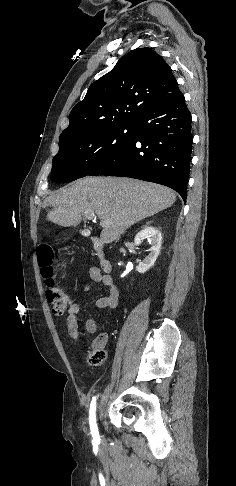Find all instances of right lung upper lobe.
Masks as SVG:
<instances>
[{
  "instance_id": "cb5924a9",
  "label": "right lung upper lobe",
  "mask_w": 236,
  "mask_h": 486,
  "mask_svg": "<svg viewBox=\"0 0 236 486\" xmlns=\"http://www.w3.org/2000/svg\"><path fill=\"white\" fill-rule=\"evenodd\" d=\"M170 66L151 48L135 49L92 83L70 112L59 143L116 125L132 124L153 106L181 98Z\"/></svg>"
}]
</instances>
